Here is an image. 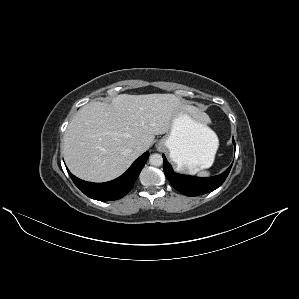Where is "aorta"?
<instances>
[{"label": "aorta", "instance_id": "762f6f07", "mask_svg": "<svg viewBox=\"0 0 299 299\" xmlns=\"http://www.w3.org/2000/svg\"><path fill=\"white\" fill-rule=\"evenodd\" d=\"M149 162L153 166H161L163 164V158L160 154H152L149 158Z\"/></svg>", "mask_w": 299, "mask_h": 299}]
</instances>
